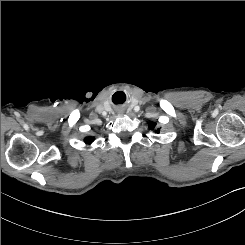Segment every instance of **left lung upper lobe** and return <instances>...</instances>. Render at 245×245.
<instances>
[{
  "mask_svg": "<svg viewBox=\"0 0 245 245\" xmlns=\"http://www.w3.org/2000/svg\"><path fill=\"white\" fill-rule=\"evenodd\" d=\"M148 126H149V129L153 130V129H155V127H156V123L150 122V123L148 124ZM155 131H156V133H159V132H160V129L158 128V129L155 130Z\"/></svg>",
  "mask_w": 245,
  "mask_h": 245,
  "instance_id": "obj_1",
  "label": "left lung upper lobe"
}]
</instances>
